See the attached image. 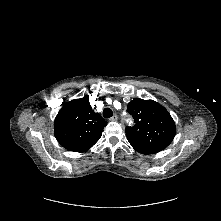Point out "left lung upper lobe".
Wrapping results in <instances>:
<instances>
[{
	"label": "left lung upper lobe",
	"mask_w": 221,
	"mask_h": 221,
	"mask_svg": "<svg viewBox=\"0 0 221 221\" xmlns=\"http://www.w3.org/2000/svg\"><path fill=\"white\" fill-rule=\"evenodd\" d=\"M127 111L135 119L126 127V136L133 148L141 154H155L165 149L176 134V126L169 112L153 100L135 98Z\"/></svg>",
	"instance_id": "obj_1"
}]
</instances>
